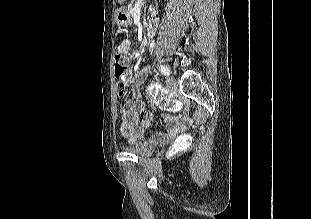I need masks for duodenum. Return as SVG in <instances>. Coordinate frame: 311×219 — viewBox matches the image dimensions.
<instances>
[{
    "instance_id": "410a0bca",
    "label": "duodenum",
    "mask_w": 311,
    "mask_h": 219,
    "mask_svg": "<svg viewBox=\"0 0 311 219\" xmlns=\"http://www.w3.org/2000/svg\"><path fill=\"white\" fill-rule=\"evenodd\" d=\"M155 29H156V25L154 22H150L148 24V31H149V34L152 35L154 32H155Z\"/></svg>"
}]
</instances>
